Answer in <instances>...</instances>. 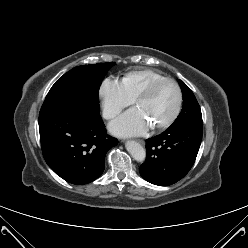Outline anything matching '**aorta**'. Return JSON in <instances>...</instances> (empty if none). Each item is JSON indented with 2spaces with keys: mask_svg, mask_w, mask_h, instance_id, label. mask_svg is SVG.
<instances>
[{
  "mask_svg": "<svg viewBox=\"0 0 248 248\" xmlns=\"http://www.w3.org/2000/svg\"><path fill=\"white\" fill-rule=\"evenodd\" d=\"M126 149L130 153V155L132 156V158L134 160H136L138 162H143L145 160L146 151L142 147V145H140L138 142L128 141L126 143Z\"/></svg>",
  "mask_w": 248,
  "mask_h": 248,
  "instance_id": "obj_1",
  "label": "aorta"
}]
</instances>
